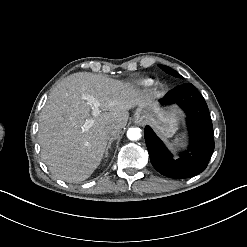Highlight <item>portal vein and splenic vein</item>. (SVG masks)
<instances>
[{"instance_id":"18ae733b","label":"portal vein and splenic vein","mask_w":247,"mask_h":247,"mask_svg":"<svg viewBox=\"0 0 247 247\" xmlns=\"http://www.w3.org/2000/svg\"><path fill=\"white\" fill-rule=\"evenodd\" d=\"M82 98L94 106V108L92 109V113H91L93 118L86 119V122L83 126L84 129L87 130L90 127L94 126L96 123L95 118L97 116H99V114H100V110L98 108L100 106V103L97 99H95L93 96H91L90 94H87V93H83Z\"/></svg>"}]
</instances>
